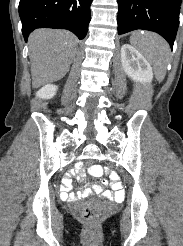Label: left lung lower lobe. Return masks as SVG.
<instances>
[{
	"instance_id": "obj_1",
	"label": "left lung lower lobe",
	"mask_w": 183,
	"mask_h": 246,
	"mask_svg": "<svg viewBox=\"0 0 183 246\" xmlns=\"http://www.w3.org/2000/svg\"><path fill=\"white\" fill-rule=\"evenodd\" d=\"M118 34L136 29L156 32L173 47L182 0H117Z\"/></svg>"
}]
</instances>
